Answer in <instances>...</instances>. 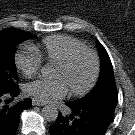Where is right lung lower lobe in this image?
<instances>
[{
  "instance_id": "right-lung-lower-lobe-1",
  "label": "right lung lower lobe",
  "mask_w": 135,
  "mask_h": 135,
  "mask_svg": "<svg viewBox=\"0 0 135 135\" xmlns=\"http://www.w3.org/2000/svg\"><path fill=\"white\" fill-rule=\"evenodd\" d=\"M19 92V88L16 87L8 92L0 93V135H14L19 125L21 112L31 107L30 98L15 105L9 104L11 101L9 97L17 96Z\"/></svg>"
}]
</instances>
